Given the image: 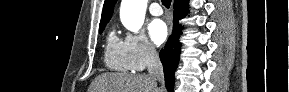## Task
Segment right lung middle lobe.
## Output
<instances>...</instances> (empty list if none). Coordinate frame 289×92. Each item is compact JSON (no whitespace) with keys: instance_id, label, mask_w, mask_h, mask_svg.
I'll list each match as a JSON object with an SVG mask.
<instances>
[{"instance_id":"obj_1","label":"right lung middle lobe","mask_w":289,"mask_h":92,"mask_svg":"<svg viewBox=\"0 0 289 92\" xmlns=\"http://www.w3.org/2000/svg\"><path fill=\"white\" fill-rule=\"evenodd\" d=\"M105 25H106V24L101 25V26L99 27V33H102V32H103V30H104V28H105Z\"/></svg>"}]
</instances>
